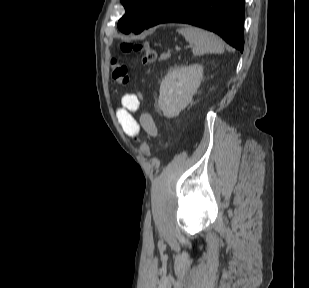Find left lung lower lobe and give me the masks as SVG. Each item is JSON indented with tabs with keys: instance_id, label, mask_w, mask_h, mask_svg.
<instances>
[{
	"instance_id": "0a47b994",
	"label": "left lung lower lobe",
	"mask_w": 309,
	"mask_h": 288,
	"mask_svg": "<svg viewBox=\"0 0 309 288\" xmlns=\"http://www.w3.org/2000/svg\"><path fill=\"white\" fill-rule=\"evenodd\" d=\"M244 16V0H166L144 29L167 22L192 24L217 33L242 52Z\"/></svg>"
}]
</instances>
